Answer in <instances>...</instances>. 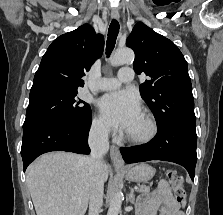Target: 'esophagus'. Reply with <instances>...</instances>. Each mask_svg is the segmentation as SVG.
Wrapping results in <instances>:
<instances>
[{
	"mask_svg": "<svg viewBox=\"0 0 223 215\" xmlns=\"http://www.w3.org/2000/svg\"><path fill=\"white\" fill-rule=\"evenodd\" d=\"M119 17L120 16H119L118 10L113 9L111 11V18L113 20H119ZM110 157H111V160H112L114 165H116V166H123L124 165V161H123V158L120 154V150L116 145H111V147H110Z\"/></svg>",
	"mask_w": 223,
	"mask_h": 215,
	"instance_id": "34e87169",
	"label": "esophagus"
}]
</instances>
